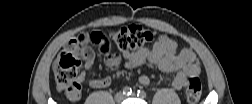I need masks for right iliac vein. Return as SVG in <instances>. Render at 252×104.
Wrapping results in <instances>:
<instances>
[{"label": "right iliac vein", "instance_id": "obj_1", "mask_svg": "<svg viewBox=\"0 0 252 104\" xmlns=\"http://www.w3.org/2000/svg\"><path fill=\"white\" fill-rule=\"evenodd\" d=\"M123 99H124V95H123L122 93H117V94L115 95V101H116L117 103L122 102Z\"/></svg>", "mask_w": 252, "mask_h": 104}]
</instances>
